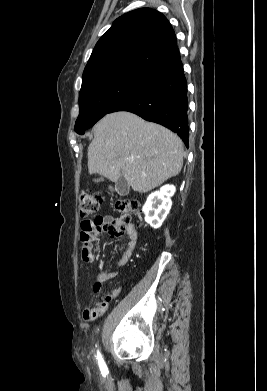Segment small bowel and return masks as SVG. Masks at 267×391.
Returning a JSON list of instances; mask_svg holds the SVG:
<instances>
[{"instance_id": "obj_1", "label": "small bowel", "mask_w": 267, "mask_h": 391, "mask_svg": "<svg viewBox=\"0 0 267 391\" xmlns=\"http://www.w3.org/2000/svg\"><path fill=\"white\" fill-rule=\"evenodd\" d=\"M108 233L115 236L125 234L126 243L123 247L122 256L117 263V268L123 267L131 258L132 253L136 247L138 233L134 225H120L116 219L110 216H99L97 220H84L81 222L80 240L86 238V246H82L81 257L85 262H92L94 260V242L98 236ZM117 271L106 272L100 271L97 275V282L94 284V291L96 294L102 295L103 301L98 302L93 308L86 309L83 312L85 320H93L97 318L105 310L107 302L113 297L117 296L119 289L115 288L109 292H103V283L114 278Z\"/></svg>"}]
</instances>
